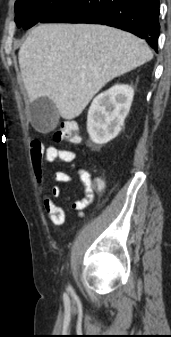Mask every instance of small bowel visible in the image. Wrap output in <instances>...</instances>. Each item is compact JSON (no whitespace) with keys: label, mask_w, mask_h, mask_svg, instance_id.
<instances>
[{"label":"small bowel","mask_w":171,"mask_h":337,"mask_svg":"<svg viewBox=\"0 0 171 337\" xmlns=\"http://www.w3.org/2000/svg\"><path fill=\"white\" fill-rule=\"evenodd\" d=\"M76 158L77 155L74 151L56 146L44 148L38 140H34L32 143L31 162L36 184L41 193L42 202L49 220L56 226H61L65 223L66 215L64 210L55 202V198L61 194V188L59 186H53L49 189L47 185L46 165L56 160H60L64 163H73L76 161ZM77 174L84 187V197L72 205V208L76 211L73 218L75 224L83 220V210L93 202L95 187L88 171L79 168ZM53 178L54 181L59 184H68L72 181L71 175L64 171H56Z\"/></svg>","instance_id":"obj_1"}]
</instances>
